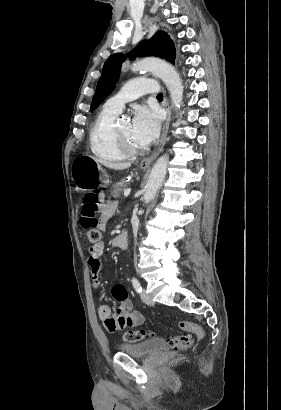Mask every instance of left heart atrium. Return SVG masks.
<instances>
[{"mask_svg":"<svg viewBox=\"0 0 281 410\" xmlns=\"http://www.w3.org/2000/svg\"><path fill=\"white\" fill-rule=\"evenodd\" d=\"M160 129L159 116L146 107L136 109L132 122L133 139L141 146H147L158 136Z\"/></svg>","mask_w":281,"mask_h":410,"instance_id":"left-heart-atrium-1","label":"left heart atrium"}]
</instances>
